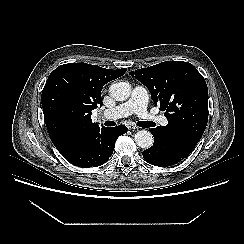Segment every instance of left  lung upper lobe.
<instances>
[{
	"mask_svg": "<svg viewBox=\"0 0 244 244\" xmlns=\"http://www.w3.org/2000/svg\"><path fill=\"white\" fill-rule=\"evenodd\" d=\"M150 91L160 110L166 111V126H158L163 138L192 151L208 121V89L203 76L188 62L165 61L130 72Z\"/></svg>",
	"mask_w": 244,
	"mask_h": 244,
	"instance_id": "obj_1",
	"label": "left lung upper lobe"
}]
</instances>
